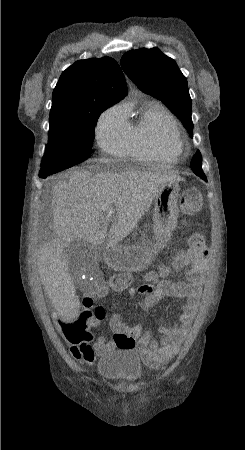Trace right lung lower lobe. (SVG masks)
<instances>
[{"mask_svg": "<svg viewBox=\"0 0 245 450\" xmlns=\"http://www.w3.org/2000/svg\"><path fill=\"white\" fill-rule=\"evenodd\" d=\"M41 178H46L47 177V175H39Z\"/></svg>", "mask_w": 245, "mask_h": 450, "instance_id": "obj_1", "label": "right lung lower lobe"}]
</instances>
